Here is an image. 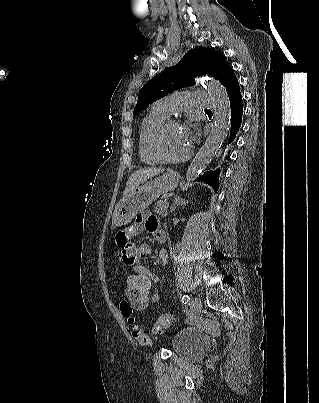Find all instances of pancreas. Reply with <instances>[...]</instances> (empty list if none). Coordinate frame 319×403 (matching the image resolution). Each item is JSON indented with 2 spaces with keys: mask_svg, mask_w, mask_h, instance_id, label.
Segmentation results:
<instances>
[{
  "mask_svg": "<svg viewBox=\"0 0 319 403\" xmlns=\"http://www.w3.org/2000/svg\"><path fill=\"white\" fill-rule=\"evenodd\" d=\"M154 212L162 217H167L168 215V206L164 205L163 202H158L154 206Z\"/></svg>",
  "mask_w": 319,
  "mask_h": 403,
  "instance_id": "1",
  "label": "pancreas"
}]
</instances>
